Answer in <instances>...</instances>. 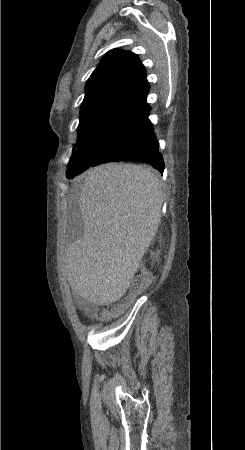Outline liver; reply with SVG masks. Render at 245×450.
<instances>
[{
	"mask_svg": "<svg viewBox=\"0 0 245 450\" xmlns=\"http://www.w3.org/2000/svg\"><path fill=\"white\" fill-rule=\"evenodd\" d=\"M162 203L152 167L110 163L89 169L79 197L84 234L64 257L71 289L98 305L123 297L156 235Z\"/></svg>",
	"mask_w": 245,
	"mask_h": 450,
	"instance_id": "liver-1",
	"label": "liver"
}]
</instances>
